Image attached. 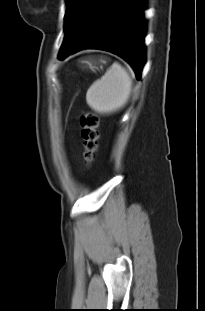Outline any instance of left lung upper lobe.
Returning <instances> with one entry per match:
<instances>
[{"mask_svg":"<svg viewBox=\"0 0 205 311\" xmlns=\"http://www.w3.org/2000/svg\"><path fill=\"white\" fill-rule=\"evenodd\" d=\"M117 1L66 0L65 36L60 54L77 46L99 25Z\"/></svg>","mask_w":205,"mask_h":311,"instance_id":"obj_1","label":"left lung upper lobe"}]
</instances>
